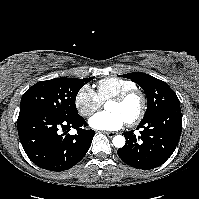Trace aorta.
Returning a JSON list of instances; mask_svg holds the SVG:
<instances>
[{
	"mask_svg": "<svg viewBox=\"0 0 199 199\" xmlns=\"http://www.w3.org/2000/svg\"><path fill=\"white\" fill-rule=\"evenodd\" d=\"M112 142L116 148H122L125 145V137L122 135H116L113 137Z\"/></svg>",
	"mask_w": 199,
	"mask_h": 199,
	"instance_id": "obj_1",
	"label": "aorta"
}]
</instances>
